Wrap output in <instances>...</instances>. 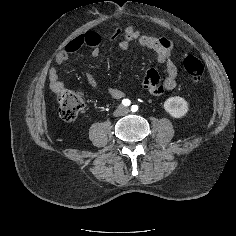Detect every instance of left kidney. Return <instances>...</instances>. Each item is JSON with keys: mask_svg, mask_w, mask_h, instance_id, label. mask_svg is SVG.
Here are the masks:
<instances>
[{"mask_svg": "<svg viewBox=\"0 0 236 236\" xmlns=\"http://www.w3.org/2000/svg\"><path fill=\"white\" fill-rule=\"evenodd\" d=\"M164 109L174 118H182L189 110L187 101L179 96L170 97L164 102Z\"/></svg>", "mask_w": 236, "mask_h": 236, "instance_id": "5707ae66", "label": "left kidney"}]
</instances>
